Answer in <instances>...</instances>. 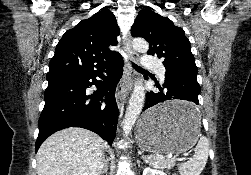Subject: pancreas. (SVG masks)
I'll list each match as a JSON object with an SVG mask.
<instances>
[{
    "instance_id": "pancreas-1",
    "label": "pancreas",
    "mask_w": 251,
    "mask_h": 175,
    "mask_svg": "<svg viewBox=\"0 0 251 175\" xmlns=\"http://www.w3.org/2000/svg\"><path fill=\"white\" fill-rule=\"evenodd\" d=\"M147 163L152 165V167H158V169H164V167H169V165H175L172 159H163V157H159V155H150Z\"/></svg>"
}]
</instances>
